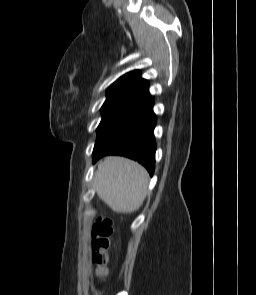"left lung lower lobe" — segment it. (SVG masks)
<instances>
[{
  "instance_id": "0a47b994",
  "label": "left lung lower lobe",
  "mask_w": 256,
  "mask_h": 295,
  "mask_svg": "<svg viewBox=\"0 0 256 295\" xmlns=\"http://www.w3.org/2000/svg\"><path fill=\"white\" fill-rule=\"evenodd\" d=\"M154 100L142 107L95 143L93 162L106 155H122L140 162L152 176L156 142Z\"/></svg>"
}]
</instances>
